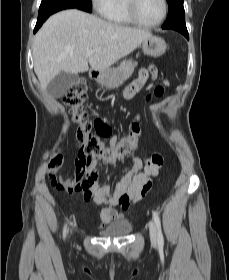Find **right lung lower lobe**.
Masks as SVG:
<instances>
[{
  "label": "right lung lower lobe",
  "mask_w": 229,
  "mask_h": 280,
  "mask_svg": "<svg viewBox=\"0 0 229 280\" xmlns=\"http://www.w3.org/2000/svg\"><path fill=\"white\" fill-rule=\"evenodd\" d=\"M70 8H77L86 12H91V8L79 4V3H73V2H59L55 4H49L44 7L39 8L38 13V19L37 23L34 29V33L42 26V24L45 22V20L52 14L64 10V9H70Z\"/></svg>",
  "instance_id": "98d812e1"
}]
</instances>
